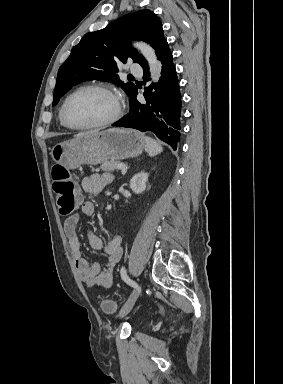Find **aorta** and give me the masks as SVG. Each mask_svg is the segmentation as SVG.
Wrapping results in <instances>:
<instances>
[{
  "label": "aorta",
  "instance_id": "762f6f07",
  "mask_svg": "<svg viewBox=\"0 0 283 384\" xmlns=\"http://www.w3.org/2000/svg\"><path fill=\"white\" fill-rule=\"evenodd\" d=\"M134 46L140 51V53L146 58L150 75L154 82L158 81L161 76L162 64L157 60L155 51L144 42H136Z\"/></svg>",
  "mask_w": 283,
  "mask_h": 384
}]
</instances>
